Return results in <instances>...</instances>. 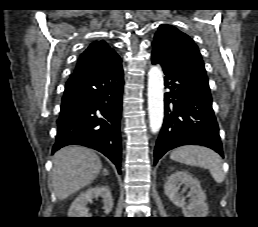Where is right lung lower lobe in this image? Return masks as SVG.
<instances>
[{
	"label": "right lung lower lobe",
	"instance_id": "obj_1",
	"mask_svg": "<svg viewBox=\"0 0 258 227\" xmlns=\"http://www.w3.org/2000/svg\"><path fill=\"white\" fill-rule=\"evenodd\" d=\"M123 69L118 55L73 73L65 85L52 153L72 144L96 149L121 172Z\"/></svg>",
	"mask_w": 258,
	"mask_h": 227
}]
</instances>
